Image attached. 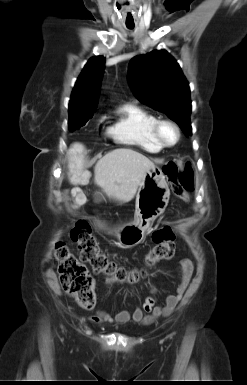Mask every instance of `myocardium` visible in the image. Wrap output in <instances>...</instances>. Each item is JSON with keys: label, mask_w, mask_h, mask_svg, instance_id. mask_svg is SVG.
I'll return each instance as SVG.
<instances>
[{"label": "myocardium", "mask_w": 247, "mask_h": 385, "mask_svg": "<svg viewBox=\"0 0 247 385\" xmlns=\"http://www.w3.org/2000/svg\"><path fill=\"white\" fill-rule=\"evenodd\" d=\"M164 126H169L175 131L176 139L174 142L167 143L162 138V129ZM152 136L162 148H172L176 146L180 141L181 131L179 126L174 121L170 119H157L152 126Z\"/></svg>", "instance_id": "myocardium-1"}]
</instances>
